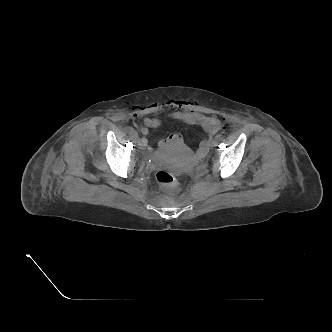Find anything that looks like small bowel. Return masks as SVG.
Instances as JSON below:
<instances>
[{
	"mask_svg": "<svg viewBox=\"0 0 332 332\" xmlns=\"http://www.w3.org/2000/svg\"><path fill=\"white\" fill-rule=\"evenodd\" d=\"M164 108H172L174 111L170 114L172 120L180 121L185 124L198 125L200 126L208 138L204 139L199 146V152L204 154L210 144V139L220 130L223 122L215 117H210L204 113H200L189 109L188 103L181 100H170L165 103H155L146 107V111L149 113L158 112ZM162 121L158 118L147 117L144 119L143 125L141 126V133L144 137L140 140V146L144 149L148 147V139L146 136L149 135L150 129L161 126ZM182 137L179 134H173L168 139L159 142L160 147H166L172 143H181Z\"/></svg>",
	"mask_w": 332,
	"mask_h": 332,
	"instance_id": "small-bowel-1",
	"label": "small bowel"
}]
</instances>
